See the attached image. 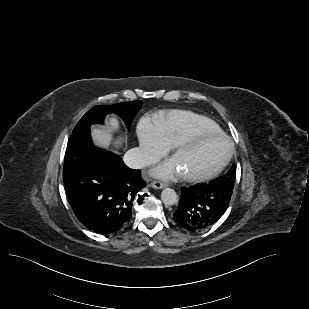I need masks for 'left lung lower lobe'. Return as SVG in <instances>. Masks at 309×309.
Here are the masks:
<instances>
[{
	"mask_svg": "<svg viewBox=\"0 0 309 309\" xmlns=\"http://www.w3.org/2000/svg\"><path fill=\"white\" fill-rule=\"evenodd\" d=\"M233 187L215 182L181 189V199L173 219L182 229L199 232L215 224L226 211Z\"/></svg>",
	"mask_w": 309,
	"mask_h": 309,
	"instance_id": "0a47b994",
	"label": "left lung lower lobe"
}]
</instances>
